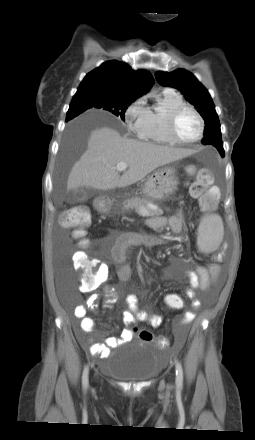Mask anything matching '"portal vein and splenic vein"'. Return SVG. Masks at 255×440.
Segmentation results:
<instances>
[{"label":"portal vein and splenic vein","instance_id":"portal-vein-and-splenic-vein-1","mask_svg":"<svg viewBox=\"0 0 255 440\" xmlns=\"http://www.w3.org/2000/svg\"><path fill=\"white\" fill-rule=\"evenodd\" d=\"M128 165L125 162H120L116 165V169L118 171H125L127 169ZM141 213L143 216H146L147 211L144 208H141Z\"/></svg>","mask_w":255,"mask_h":440}]
</instances>
